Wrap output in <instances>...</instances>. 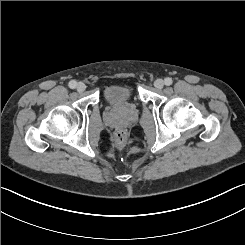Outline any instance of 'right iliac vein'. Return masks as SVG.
<instances>
[{
  "mask_svg": "<svg viewBox=\"0 0 245 245\" xmlns=\"http://www.w3.org/2000/svg\"><path fill=\"white\" fill-rule=\"evenodd\" d=\"M76 89L78 92H84L86 90V85L82 82H79L77 85H76Z\"/></svg>",
  "mask_w": 245,
  "mask_h": 245,
  "instance_id": "63e3f726",
  "label": "right iliac vein"
}]
</instances>
